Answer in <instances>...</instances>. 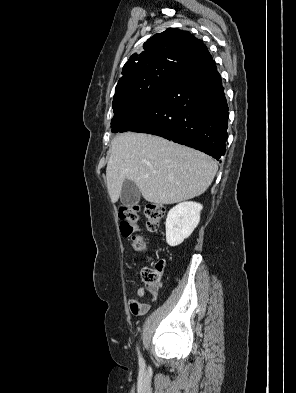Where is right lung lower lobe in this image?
I'll list each match as a JSON object with an SVG mask.
<instances>
[{
	"label": "right lung lower lobe",
	"mask_w": 296,
	"mask_h": 393,
	"mask_svg": "<svg viewBox=\"0 0 296 393\" xmlns=\"http://www.w3.org/2000/svg\"><path fill=\"white\" fill-rule=\"evenodd\" d=\"M228 117L221 76L208 53L179 71L120 132L158 135L220 161L225 154Z\"/></svg>",
	"instance_id": "right-lung-lower-lobe-1"
}]
</instances>
